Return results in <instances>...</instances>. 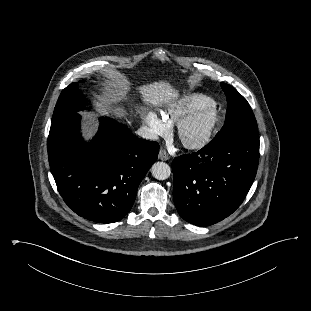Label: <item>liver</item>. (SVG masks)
Segmentation results:
<instances>
[{
  "mask_svg": "<svg viewBox=\"0 0 311 311\" xmlns=\"http://www.w3.org/2000/svg\"><path fill=\"white\" fill-rule=\"evenodd\" d=\"M120 88L122 90L125 87L121 85ZM134 89L138 90L144 102L150 103L153 106L170 104L179 97L178 91L170 83L165 81L141 85ZM107 110L116 117L126 118V111L120 107L108 106Z\"/></svg>",
  "mask_w": 311,
  "mask_h": 311,
  "instance_id": "6515ba94",
  "label": "liver"
}]
</instances>
